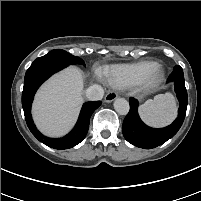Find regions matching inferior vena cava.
<instances>
[{"mask_svg": "<svg viewBox=\"0 0 201 201\" xmlns=\"http://www.w3.org/2000/svg\"><path fill=\"white\" fill-rule=\"evenodd\" d=\"M86 98L90 101L101 100L104 96V90L100 85H92L85 91Z\"/></svg>", "mask_w": 201, "mask_h": 201, "instance_id": "inferior-vena-cava-1", "label": "inferior vena cava"}]
</instances>
